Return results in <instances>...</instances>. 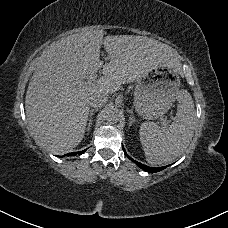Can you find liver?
<instances>
[{"label": "liver", "instance_id": "1", "mask_svg": "<svg viewBox=\"0 0 228 228\" xmlns=\"http://www.w3.org/2000/svg\"><path fill=\"white\" fill-rule=\"evenodd\" d=\"M104 48L108 63L100 61ZM173 49L149 37L104 35L100 29L68 36L37 62L25 95L27 125L35 143L54 154L76 148L89 121V95H112L148 71H180ZM102 68L104 77L89 79Z\"/></svg>", "mask_w": 228, "mask_h": 228}]
</instances>
